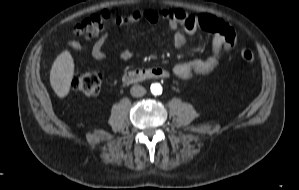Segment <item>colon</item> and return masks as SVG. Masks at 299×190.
Returning <instances> with one entry per match:
<instances>
[{
  "mask_svg": "<svg viewBox=\"0 0 299 190\" xmlns=\"http://www.w3.org/2000/svg\"><path fill=\"white\" fill-rule=\"evenodd\" d=\"M113 15L114 13L109 10H103L100 13L91 15L89 18L75 26L74 33L77 36L82 37L96 36L111 21ZM199 23L202 27H204L208 23V19L202 16ZM241 57L247 63L254 60V54L248 48L242 50ZM101 84V74L90 71H84L76 74L71 82L74 89L83 92L87 96H96L100 92Z\"/></svg>",
  "mask_w": 299,
  "mask_h": 190,
  "instance_id": "5ec220e1",
  "label": "colon"
}]
</instances>
